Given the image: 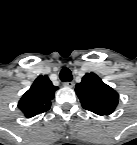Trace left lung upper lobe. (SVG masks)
I'll return each instance as SVG.
<instances>
[{"label": "left lung upper lobe", "instance_id": "1", "mask_svg": "<svg viewBox=\"0 0 137 145\" xmlns=\"http://www.w3.org/2000/svg\"><path fill=\"white\" fill-rule=\"evenodd\" d=\"M75 91L82 107L100 116L113 113L119 102V94L92 72L84 75Z\"/></svg>", "mask_w": 137, "mask_h": 145}]
</instances>
